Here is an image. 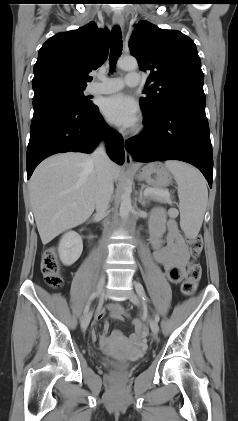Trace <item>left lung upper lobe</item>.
Segmentation results:
<instances>
[{
    "mask_svg": "<svg viewBox=\"0 0 238 421\" xmlns=\"http://www.w3.org/2000/svg\"><path fill=\"white\" fill-rule=\"evenodd\" d=\"M131 54L142 70H149L146 85L151 86L140 98L146 117L156 115L168 102L203 91V72L196 45L176 30H164L141 21L129 41Z\"/></svg>",
    "mask_w": 238,
    "mask_h": 421,
    "instance_id": "left-lung-upper-lobe-1",
    "label": "left lung upper lobe"
}]
</instances>
